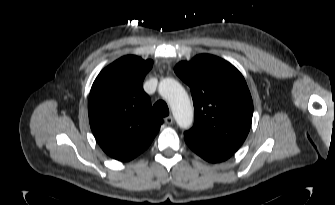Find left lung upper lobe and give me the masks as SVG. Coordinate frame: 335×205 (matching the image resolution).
Returning <instances> with one entry per match:
<instances>
[{"label":"left lung upper lobe","mask_w":335,"mask_h":205,"mask_svg":"<svg viewBox=\"0 0 335 205\" xmlns=\"http://www.w3.org/2000/svg\"><path fill=\"white\" fill-rule=\"evenodd\" d=\"M174 71L190 86L195 110L194 125L184 138L212 149L237 151L253 116L251 94L242 74L209 54L179 62Z\"/></svg>","instance_id":"5c2ea615"}]
</instances>
